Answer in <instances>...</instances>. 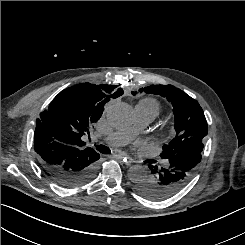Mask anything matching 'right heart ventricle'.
I'll return each instance as SVG.
<instances>
[{
	"label": "right heart ventricle",
	"mask_w": 245,
	"mask_h": 245,
	"mask_svg": "<svg viewBox=\"0 0 245 245\" xmlns=\"http://www.w3.org/2000/svg\"><path fill=\"white\" fill-rule=\"evenodd\" d=\"M138 105L152 109L153 111H155V113L157 115H158L159 110H160L159 102L156 99L151 98V97L143 98L142 100H140Z\"/></svg>",
	"instance_id": "obj_1"
}]
</instances>
